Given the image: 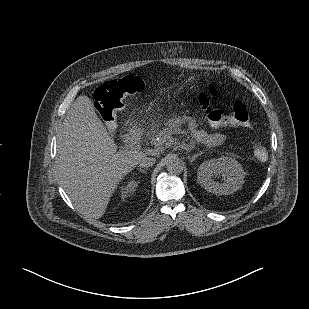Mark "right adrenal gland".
<instances>
[{
	"mask_svg": "<svg viewBox=\"0 0 309 309\" xmlns=\"http://www.w3.org/2000/svg\"><path fill=\"white\" fill-rule=\"evenodd\" d=\"M138 171L141 172V173H145L146 172V170L141 169V168H139Z\"/></svg>",
	"mask_w": 309,
	"mask_h": 309,
	"instance_id": "2a0ac1e0",
	"label": "right adrenal gland"
}]
</instances>
